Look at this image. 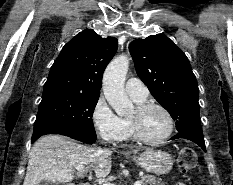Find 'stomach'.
<instances>
[{
	"label": "stomach",
	"instance_id": "1",
	"mask_svg": "<svg viewBox=\"0 0 233 185\" xmlns=\"http://www.w3.org/2000/svg\"><path fill=\"white\" fill-rule=\"evenodd\" d=\"M133 159L146 171L158 175L167 174L172 169L174 160L172 156L162 150H147Z\"/></svg>",
	"mask_w": 233,
	"mask_h": 185
}]
</instances>
